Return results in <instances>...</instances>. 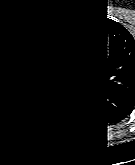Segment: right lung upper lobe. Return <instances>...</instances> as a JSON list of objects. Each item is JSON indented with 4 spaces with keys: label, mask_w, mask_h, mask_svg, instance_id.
<instances>
[{
    "label": "right lung upper lobe",
    "mask_w": 135,
    "mask_h": 165,
    "mask_svg": "<svg viewBox=\"0 0 135 165\" xmlns=\"http://www.w3.org/2000/svg\"><path fill=\"white\" fill-rule=\"evenodd\" d=\"M49 30L50 26L42 18L23 19L0 26V51L9 48L21 56L40 58L38 47Z\"/></svg>",
    "instance_id": "1"
}]
</instances>
